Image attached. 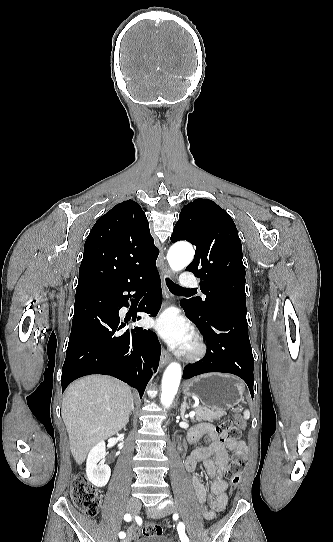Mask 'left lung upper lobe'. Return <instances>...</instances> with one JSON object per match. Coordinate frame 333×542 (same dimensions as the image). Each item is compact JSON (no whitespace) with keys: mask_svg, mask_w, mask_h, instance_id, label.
Wrapping results in <instances>:
<instances>
[{"mask_svg":"<svg viewBox=\"0 0 333 542\" xmlns=\"http://www.w3.org/2000/svg\"><path fill=\"white\" fill-rule=\"evenodd\" d=\"M178 240L195 245L194 259L186 270L201 279V291L206 295L203 300H184L194 322L209 326L213 316L225 309L246 313L242 244L232 218L215 202L195 199L181 210L171 235L172 242Z\"/></svg>","mask_w":333,"mask_h":542,"instance_id":"left-lung-upper-lobe-1","label":"left lung upper lobe"}]
</instances>
